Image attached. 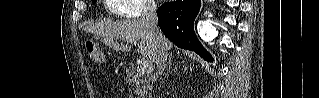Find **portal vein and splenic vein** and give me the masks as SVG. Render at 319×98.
Here are the masks:
<instances>
[{
  "label": "portal vein and splenic vein",
  "mask_w": 319,
  "mask_h": 98,
  "mask_svg": "<svg viewBox=\"0 0 319 98\" xmlns=\"http://www.w3.org/2000/svg\"><path fill=\"white\" fill-rule=\"evenodd\" d=\"M127 42H130L132 44H136V41L135 40H132L131 38H127L126 39ZM153 69V66H152V63L151 62H148V61H145L143 62V64L141 65V72L142 73H147L149 74Z\"/></svg>",
  "instance_id": "18ae733b"
}]
</instances>
